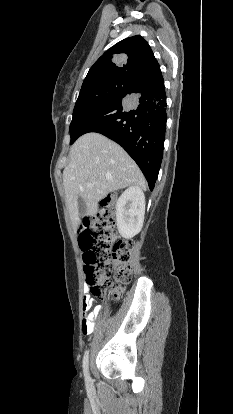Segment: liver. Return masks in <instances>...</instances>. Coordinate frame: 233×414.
<instances>
[{"mask_svg": "<svg viewBox=\"0 0 233 414\" xmlns=\"http://www.w3.org/2000/svg\"><path fill=\"white\" fill-rule=\"evenodd\" d=\"M66 203L74 229L81 224L78 200L87 207L86 216H94L98 202L108 193L129 186L146 188L145 178L133 159L114 141L89 132L70 149V163L63 171Z\"/></svg>", "mask_w": 233, "mask_h": 414, "instance_id": "6515ba94", "label": "liver"}]
</instances>
